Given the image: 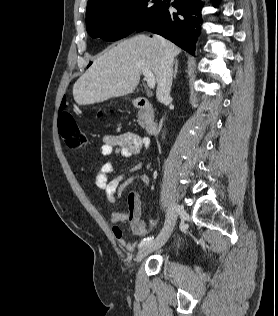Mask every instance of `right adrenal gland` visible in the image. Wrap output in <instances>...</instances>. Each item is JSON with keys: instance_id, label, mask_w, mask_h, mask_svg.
I'll use <instances>...</instances> for the list:
<instances>
[{"instance_id": "1", "label": "right adrenal gland", "mask_w": 278, "mask_h": 316, "mask_svg": "<svg viewBox=\"0 0 278 316\" xmlns=\"http://www.w3.org/2000/svg\"><path fill=\"white\" fill-rule=\"evenodd\" d=\"M177 71H178V60H175V68H174V73H173V78L176 79V75H177Z\"/></svg>"}]
</instances>
